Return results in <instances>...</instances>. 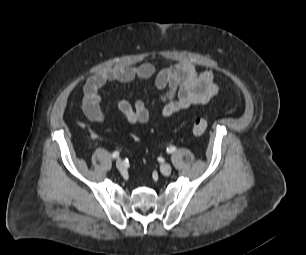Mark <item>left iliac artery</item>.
I'll use <instances>...</instances> for the list:
<instances>
[{
    "label": "left iliac artery",
    "mask_w": 306,
    "mask_h": 255,
    "mask_svg": "<svg viewBox=\"0 0 306 255\" xmlns=\"http://www.w3.org/2000/svg\"><path fill=\"white\" fill-rule=\"evenodd\" d=\"M175 150H176L175 146H170V147L167 148L168 153H173Z\"/></svg>",
    "instance_id": "44dca946"
}]
</instances>
